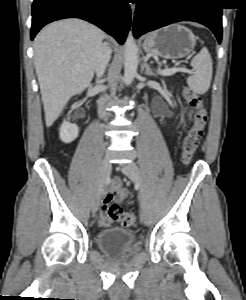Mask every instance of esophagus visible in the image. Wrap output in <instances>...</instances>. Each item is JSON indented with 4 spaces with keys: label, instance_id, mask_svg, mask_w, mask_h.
<instances>
[{
    "label": "esophagus",
    "instance_id": "esophagus-1",
    "mask_svg": "<svg viewBox=\"0 0 246 300\" xmlns=\"http://www.w3.org/2000/svg\"><path fill=\"white\" fill-rule=\"evenodd\" d=\"M131 8H134V5H131Z\"/></svg>",
    "mask_w": 246,
    "mask_h": 300
}]
</instances>
